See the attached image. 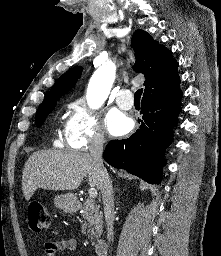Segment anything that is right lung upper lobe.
<instances>
[{"label": "right lung upper lobe", "instance_id": "cb5924a9", "mask_svg": "<svg viewBox=\"0 0 221 256\" xmlns=\"http://www.w3.org/2000/svg\"><path fill=\"white\" fill-rule=\"evenodd\" d=\"M136 64L134 70L145 76L144 95L160 94L179 88L178 63L172 52L159 45L147 32L136 30L131 39ZM82 67L76 66L63 74L51 88L44 101L66 94L81 77Z\"/></svg>", "mask_w": 221, "mask_h": 256}]
</instances>
